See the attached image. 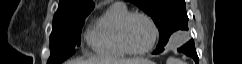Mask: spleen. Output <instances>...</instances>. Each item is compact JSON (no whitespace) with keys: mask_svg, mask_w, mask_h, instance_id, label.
Instances as JSON below:
<instances>
[{"mask_svg":"<svg viewBox=\"0 0 242 64\" xmlns=\"http://www.w3.org/2000/svg\"><path fill=\"white\" fill-rule=\"evenodd\" d=\"M167 64H184V63L179 59L170 57L167 59Z\"/></svg>","mask_w":242,"mask_h":64,"instance_id":"1","label":"spleen"}]
</instances>
